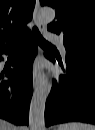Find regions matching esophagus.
<instances>
[{
  "label": "esophagus",
  "instance_id": "34e87169",
  "mask_svg": "<svg viewBox=\"0 0 95 130\" xmlns=\"http://www.w3.org/2000/svg\"><path fill=\"white\" fill-rule=\"evenodd\" d=\"M39 7H40V3H39V0H36V3H35V8H34V13H33V17H34V21L37 25V27L43 31L45 29V26L44 24L40 21L39 19ZM41 76V70L38 69L34 72L33 74V86L36 87L37 86V83L39 81V78Z\"/></svg>",
  "mask_w": 95,
  "mask_h": 130
}]
</instances>
